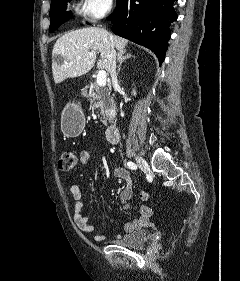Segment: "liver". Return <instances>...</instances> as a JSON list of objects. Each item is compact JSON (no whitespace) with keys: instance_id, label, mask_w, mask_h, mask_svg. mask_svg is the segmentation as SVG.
I'll return each mask as SVG.
<instances>
[{"instance_id":"1","label":"liver","mask_w":240,"mask_h":281,"mask_svg":"<svg viewBox=\"0 0 240 281\" xmlns=\"http://www.w3.org/2000/svg\"><path fill=\"white\" fill-rule=\"evenodd\" d=\"M127 43L126 39L99 27H87L65 33L56 41L52 51L54 82L59 84L66 79L85 75L93 68L98 53L100 58L97 68L109 73L111 49L124 51ZM57 57H61V61Z\"/></svg>"}]
</instances>
